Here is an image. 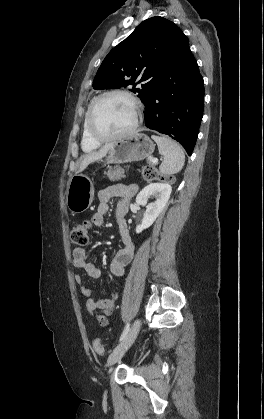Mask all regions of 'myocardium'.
Wrapping results in <instances>:
<instances>
[{
    "instance_id": "f54148a6",
    "label": "myocardium",
    "mask_w": 264,
    "mask_h": 419,
    "mask_svg": "<svg viewBox=\"0 0 264 419\" xmlns=\"http://www.w3.org/2000/svg\"><path fill=\"white\" fill-rule=\"evenodd\" d=\"M113 95L124 96L128 98L134 104V107H135L134 123L128 130L122 133L109 135V136L102 135L98 133L94 128V124H93L94 114L100 102L106 97L113 96ZM141 117H142L141 103L131 92L127 90H121V89L109 90L100 94L92 101L90 108L88 110L87 119H86L87 131H88L89 136L94 141L99 142V143L118 141V140L130 137L137 131L140 124Z\"/></svg>"
}]
</instances>
